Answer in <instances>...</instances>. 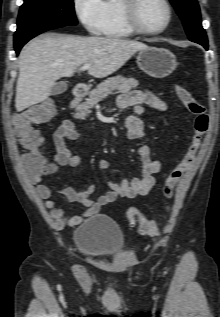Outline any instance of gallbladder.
Returning <instances> with one entry per match:
<instances>
[{"instance_id":"gallbladder-1","label":"gallbladder","mask_w":220,"mask_h":317,"mask_svg":"<svg viewBox=\"0 0 220 317\" xmlns=\"http://www.w3.org/2000/svg\"><path fill=\"white\" fill-rule=\"evenodd\" d=\"M67 90V84L65 82H58L51 89V95H59Z\"/></svg>"}]
</instances>
